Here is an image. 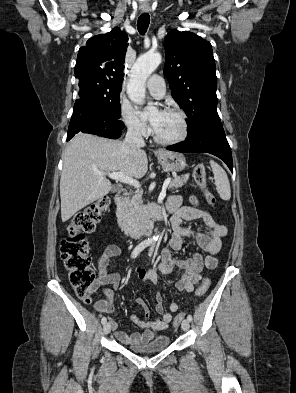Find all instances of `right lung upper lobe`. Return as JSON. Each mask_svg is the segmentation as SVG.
<instances>
[{"mask_svg": "<svg viewBox=\"0 0 296 393\" xmlns=\"http://www.w3.org/2000/svg\"><path fill=\"white\" fill-rule=\"evenodd\" d=\"M127 35L118 27L111 32L91 37L79 49L75 77L79 81L92 79L121 90Z\"/></svg>", "mask_w": 296, "mask_h": 393, "instance_id": "1", "label": "right lung upper lobe"}]
</instances>
